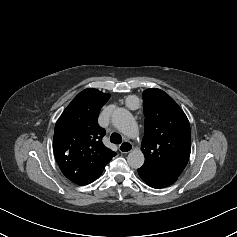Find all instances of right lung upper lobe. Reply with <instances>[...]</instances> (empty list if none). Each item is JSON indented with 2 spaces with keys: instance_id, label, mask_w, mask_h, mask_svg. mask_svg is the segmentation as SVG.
Listing matches in <instances>:
<instances>
[{
  "instance_id": "1",
  "label": "right lung upper lobe",
  "mask_w": 237,
  "mask_h": 237,
  "mask_svg": "<svg viewBox=\"0 0 237 237\" xmlns=\"http://www.w3.org/2000/svg\"><path fill=\"white\" fill-rule=\"evenodd\" d=\"M109 97L87 88L74 98L56 122L53 149L61 171L69 177H97L116 155L103 145L105 131L97 124L99 110Z\"/></svg>"
}]
</instances>
